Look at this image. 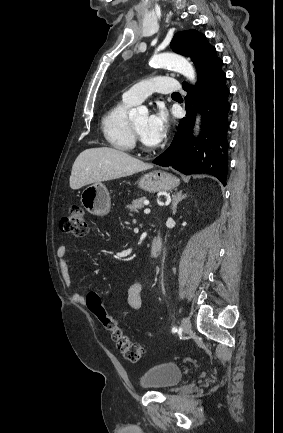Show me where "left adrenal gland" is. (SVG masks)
Returning a JSON list of instances; mask_svg holds the SVG:
<instances>
[{
    "mask_svg": "<svg viewBox=\"0 0 283 433\" xmlns=\"http://www.w3.org/2000/svg\"><path fill=\"white\" fill-rule=\"evenodd\" d=\"M182 192L183 190H179V192H174V194H172V204H171L172 214H175L178 202H180L182 198H185V196H187V194H182Z\"/></svg>",
    "mask_w": 283,
    "mask_h": 433,
    "instance_id": "1",
    "label": "left adrenal gland"
}]
</instances>
